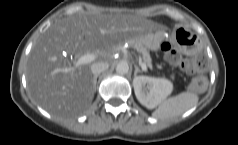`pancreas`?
<instances>
[{
    "mask_svg": "<svg viewBox=\"0 0 238 145\" xmlns=\"http://www.w3.org/2000/svg\"><path fill=\"white\" fill-rule=\"evenodd\" d=\"M129 46L133 49H135L137 52H139L144 60V63L152 69V59L150 56V53L147 49V47L144 45V43L141 40L135 39L129 41ZM172 79H174V76H171Z\"/></svg>",
    "mask_w": 238,
    "mask_h": 145,
    "instance_id": "pancreas-1",
    "label": "pancreas"
}]
</instances>
